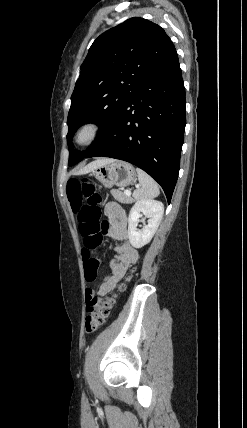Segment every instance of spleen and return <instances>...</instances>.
<instances>
[{"label": "spleen", "instance_id": "obj_1", "mask_svg": "<svg viewBox=\"0 0 247 428\" xmlns=\"http://www.w3.org/2000/svg\"><path fill=\"white\" fill-rule=\"evenodd\" d=\"M136 171L141 187L134 191L133 197L136 200L152 199L157 197L160 194V191L158 184L154 179L140 168H137Z\"/></svg>", "mask_w": 247, "mask_h": 428}]
</instances>
